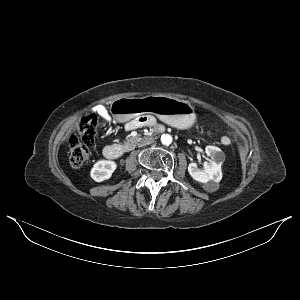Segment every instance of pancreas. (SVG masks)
Instances as JSON below:
<instances>
[{
    "label": "pancreas",
    "instance_id": "1",
    "mask_svg": "<svg viewBox=\"0 0 300 300\" xmlns=\"http://www.w3.org/2000/svg\"><path fill=\"white\" fill-rule=\"evenodd\" d=\"M134 139H128L127 141H125L124 142V147L126 148V149H128L129 148V145H130V142L131 141H133Z\"/></svg>",
    "mask_w": 300,
    "mask_h": 300
}]
</instances>
